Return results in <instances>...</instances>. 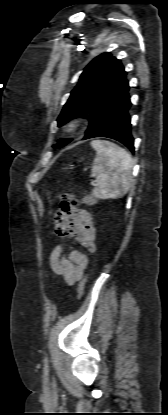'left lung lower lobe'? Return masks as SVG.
<instances>
[{"label": "left lung lower lobe", "mask_w": 168, "mask_h": 415, "mask_svg": "<svg viewBox=\"0 0 168 415\" xmlns=\"http://www.w3.org/2000/svg\"><path fill=\"white\" fill-rule=\"evenodd\" d=\"M129 86L114 97L90 124L83 139L108 137L115 139L131 152H134V139L131 135V107Z\"/></svg>", "instance_id": "left-lung-lower-lobe-1"}]
</instances>
